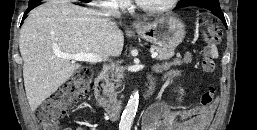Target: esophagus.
<instances>
[{"label":"esophagus","mask_w":257,"mask_h":130,"mask_svg":"<svg viewBox=\"0 0 257 130\" xmlns=\"http://www.w3.org/2000/svg\"><path fill=\"white\" fill-rule=\"evenodd\" d=\"M141 25H142V22L139 21V20H135V21L133 22V27H135V28H138V27H140Z\"/></svg>","instance_id":"34e87169"}]
</instances>
